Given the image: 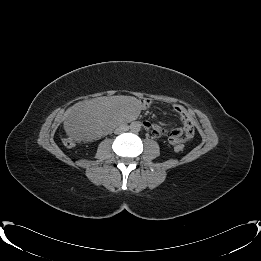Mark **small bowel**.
I'll list each match as a JSON object with an SVG mask.
<instances>
[{
    "label": "small bowel",
    "mask_w": 261,
    "mask_h": 261,
    "mask_svg": "<svg viewBox=\"0 0 261 261\" xmlns=\"http://www.w3.org/2000/svg\"><path fill=\"white\" fill-rule=\"evenodd\" d=\"M176 112L178 113L180 119L183 121V129L182 130H173L170 134L171 136L183 137L184 141L189 140L193 134V126L190 119L187 115L179 108L175 107ZM145 127L152 130L154 133L160 135L164 133V129L156 124L144 123Z\"/></svg>",
    "instance_id": "obj_1"
}]
</instances>
